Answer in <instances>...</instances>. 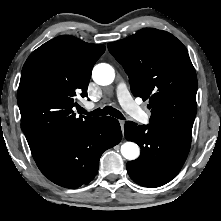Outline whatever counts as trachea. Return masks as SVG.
Masks as SVG:
<instances>
[{"label":"trachea","mask_w":221,"mask_h":221,"mask_svg":"<svg viewBox=\"0 0 221 221\" xmlns=\"http://www.w3.org/2000/svg\"><path fill=\"white\" fill-rule=\"evenodd\" d=\"M80 112H81V114H87V115H91V116H104V115L109 114L115 118L124 119V116L122 115V113L119 110H117L111 106H106L103 109L98 108L92 112H87L85 109L81 108Z\"/></svg>","instance_id":"3493384b"}]
</instances>
